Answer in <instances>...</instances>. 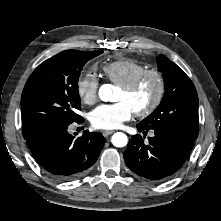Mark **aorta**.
<instances>
[{
  "mask_svg": "<svg viewBox=\"0 0 221 221\" xmlns=\"http://www.w3.org/2000/svg\"><path fill=\"white\" fill-rule=\"evenodd\" d=\"M99 97L102 101H110L112 98V88L108 84H104L99 89ZM115 147H124L128 143V137L122 132H116L111 139Z\"/></svg>",
  "mask_w": 221,
  "mask_h": 221,
  "instance_id": "aorta-1",
  "label": "aorta"
}]
</instances>
